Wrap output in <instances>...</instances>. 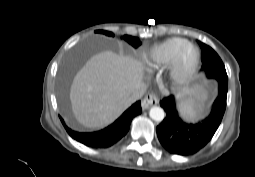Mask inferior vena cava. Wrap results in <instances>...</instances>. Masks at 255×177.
Returning <instances> with one entry per match:
<instances>
[{"label": "inferior vena cava", "instance_id": "obj_1", "mask_svg": "<svg viewBox=\"0 0 255 177\" xmlns=\"http://www.w3.org/2000/svg\"><path fill=\"white\" fill-rule=\"evenodd\" d=\"M146 85L144 83H139L132 94L128 97V103H134L135 101L139 100L145 93Z\"/></svg>", "mask_w": 255, "mask_h": 177}]
</instances>
